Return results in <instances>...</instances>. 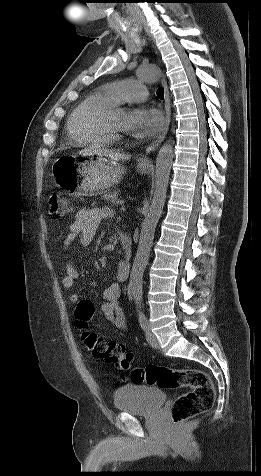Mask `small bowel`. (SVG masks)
Segmentation results:
<instances>
[{
	"label": "small bowel",
	"instance_id": "small-bowel-1",
	"mask_svg": "<svg viewBox=\"0 0 261 476\" xmlns=\"http://www.w3.org/2000/svg\"><path fill=\"white\" fill-rule=\"evenodd\" d=\"M109 208H83L75 216L74 221L68 226V234L63 242V248L69 250L72 243L78 240L83 246H88L94 240L101 222L111 217ZM66 275L63 278V287L66 290L74 286L78 278V271L71 263L66 264ZM129 272L123 269L120 263L115 275V280L109 284L103 292L105 302L101 306V312L105 319L119 330L127 329V317L121 304V284L128 278ZM73 304L80 302L77 293L70 295Z\"/></svg>",
	"mask_w": 261,
	"mask_h": 476
}]
</instances>
